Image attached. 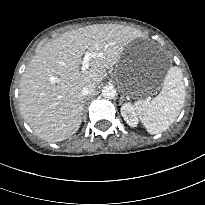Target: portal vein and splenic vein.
I'll return each instance as SVG.
<instances>
[{
    "label": "portal vein and splenic vein",
    "instance_id": "18ae733b",
    "mask_svg": "<svg viewBox=\"0 0 205 205\" xmlns=\"http://www.w3.org/2000/svg\"><path fill=\"white\" fill-rule=\"evenodd\" d=\"M98 56V53L96 52H85V55L82 60V66H81V71L84 72L89 68V64L92 58H95Z\"/></svg>",
    "mask_w": 205,
    "mask_h": 205
}]
</instances>
